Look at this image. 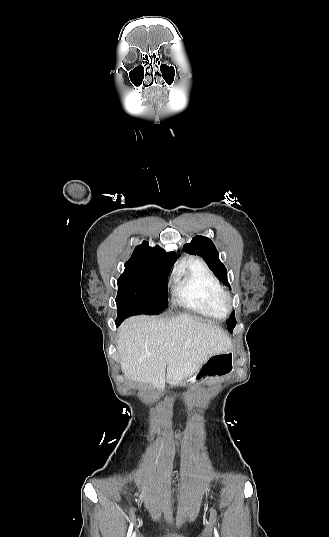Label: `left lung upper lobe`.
I'll return each instance as SVG.
<instances>
[{
	"mask_svg": "<svg viewBox=\"0 0 329 537\" xmlns=\"http://www.w3.org/2000/svg\"><path fill=\"white\" fill-rule=\"evenodd\" d=\"M184 250L189 254L199 255L207 263L208 267L213 271L215 276L225 285H229L227 280V269L219 260V254L213 242L204 236H196L188 244L184 245ZM236 326L234 312L227 320V327L233 331Z\"/></svg>",
	"mask_w": 329,
	"mask_h": 537,
	"instance_id": "obj_1",
	"label": "left lung upper lobe"
}]
</instances>
